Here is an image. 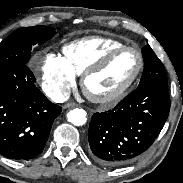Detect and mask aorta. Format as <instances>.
Instances as JSON below:
<instances>
[{
  "instance_id": "1",
  "label": "aorta",
  "mask_w": 183,
  "mask_h": 183,
  "mask_svg": "<svg viewBox=\"0 0 183 183\" xmlns=\"http://www.w3.org/2000/svg\"><path fill=\"white\" fill-rule=\"evenodd\" d=\"M68 121L75 126H82L86 123V112L84 109L75 108L68 112L67 114Z\"/></svg>"
}]
</instances>
